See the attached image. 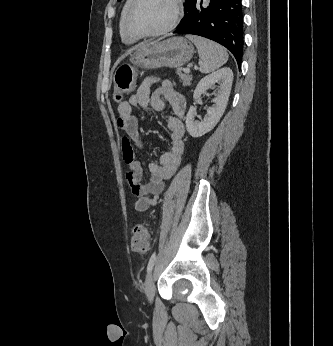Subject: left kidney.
<instances>
[{"label": "left kidney", "instance_id": "left-kidney-1", "mask_svg": "<svg viewBox=\"0 0 333 346\" xmlns=\"http://www.w3.org/2000/svg\"><path fill=\"white\" fill-rule=\"evenodd\" d=\"M233 82V72L230 68L224 67L202 78L194 90L193 98L198 99L207 89L214 88L216 83L217 97L214 99V106L207 109V114L202 121H195V112L193 106L190 107L186 115V128L188 133L194 137H201L211 131L226 109L231 87Z\"/></svg>", "mask_w": 333, "mask_h": 346}]
</instances>
